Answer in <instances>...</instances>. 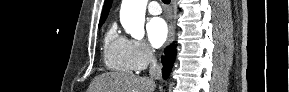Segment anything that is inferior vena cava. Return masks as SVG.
<instances>
[{
  "mask_svg": "<svg viewBox=\"0 0 289 92\" xmlns=\"http://www.w3.org/2000/svg\"><path fill=\"white\" fill-rule=\"evenodd\" d=\"M149 59H150V69L149 75L151 79H160L162 76L161 67L157 63V59L155 57V51L149 47L148 48Z\"/></svg>",
  "mask_w": 289,
  "mask_h": 92,
  "instance_id": "1",
  "label": "inferior vena cava"
}]
</instances>
